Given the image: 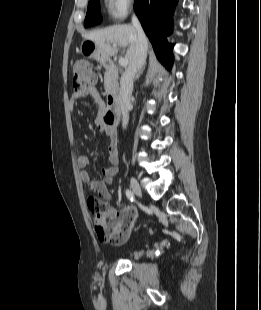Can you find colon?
I'll use <instances>...</instances> for the list:
<instances>
[{
  "mask_svg": "<svg viewBox=\"0 0 261 310\" xmlns=\"http://www.w3.org/2000/svg\"><path fill=\"white\" fill-rule=\"evenodd\" d=\"M72 85L76 92L92 87L96 73L85 59H77L72 64ZM88 208L94 216L95 231L98 238L114 245L122 244L130 231L138 210L135 204H128L115 216L108 215L105 204L98 198L89 197Z\"/></svg>",
  "mask_w": 261,
  "mask_h": 310,
  "instance_id": "obj_1",
  "label": "colon"
}]
</instances>
